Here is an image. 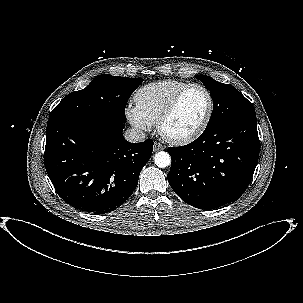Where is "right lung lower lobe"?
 Listing matches in <instances>:
<instances>
[{"label":"right lung lower lobe","mask_w":303,"mask_h":303,"mask_svg":"<svg viewBox=\"0 0 303 303\" xmlns=\"http://www.w3.org/2000/svg\"><path fill=\"white\" fill-rule=\"evenodd\" d=\"M123 129V122L104 116L48 121L44 164L65 202L105 214L130 197L151 157L153 141L130 143Z\"/></svg>","instance_id":"98d812e1"}]
</instances>
